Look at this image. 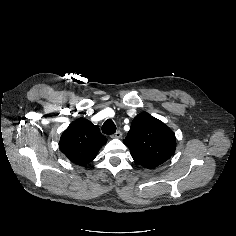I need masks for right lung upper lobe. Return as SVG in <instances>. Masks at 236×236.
Returning a JSON list of instances; mask_svg holds the SVG:
<instances>
[{
  "instance_id": "1",
  "label": "right lung upper lobe",
  "mask_w": 236,
  "mask_h": 236,
  "mask_svg": "<svg viewBox=\"0 0 236 236\" xmlns=\"http://www.w3.org/2000/svg\"><path fill=\"white\" fill-rule=\"evenodd\" d=\"M106 141L98 126L87 119L79 118L62 133L59 146L70 161L84 166L96 157Z\"/></svg>"
}]
</instances>
